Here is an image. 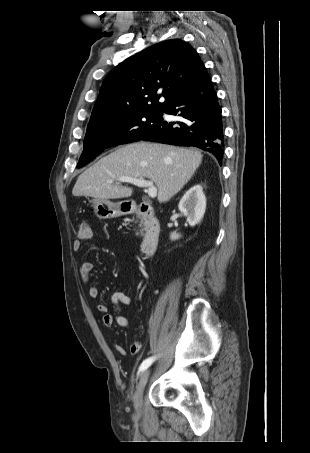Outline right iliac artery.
I'll return each instance as SVG.
<instances>
[{
	"label": "right iliac artery",
	"instance_id": "right-iliac-artery-1",
	"mask_svg": "<svg viewBox=\"0 0 310 453\" xmlns=\"http://www.w3.org/2000/svg\"><path fill=\"white\" fill-rule=\"evenodd\" d=\"M154 360H155V357H149V358L145 359V360L141 363V365H140V367H139V371L142 372V371H144L145 369H147V368L153 363Z\"/></svg>",
	"mask_w": 310,
	"mask_h": 453
}]
</instances>
